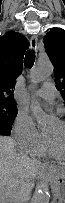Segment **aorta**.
Segmentation results:
<instances>
[{
	"label": "aorta",
	"instance_id": "762f6f07",
	"mask_svg": "<svg viewBox=\"0 0 65 203\" xmlns=\"http://www.w3.org/2000/svg\"><path fill=\"white\" fill-rule=\"evenodd\" d=\"M53 65L50 60H40L31 71L33 83H39L53 74ZM31 112L38 125L45 127L51 116L43 109L40 101L35 97L31 98ZM50 190L47 181H42L38 186L32 203H50Z\"/></svg>",
	"mask_w": 65,
	"mask_h": 203
}]
</instances>
